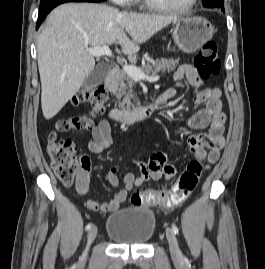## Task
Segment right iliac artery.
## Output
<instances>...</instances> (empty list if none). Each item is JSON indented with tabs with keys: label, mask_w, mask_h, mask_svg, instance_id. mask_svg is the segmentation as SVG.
<instances>
[{
	"label": "right iliac artery",
	"mask_w": 265,
	"mask_h": 269,
	"mask_svg": "<svg viewBox=\"0 0 265 269\" xmlns=\"http://www.w3.org/2000/svg\"><path fill=\"white\" fill-rule=\"evenodd\" d=\"M90 228H91V224H87L85 227V230L88 231V230H90Z\"/></svg>",
	"instance_id": "1"
}]
</instances>
